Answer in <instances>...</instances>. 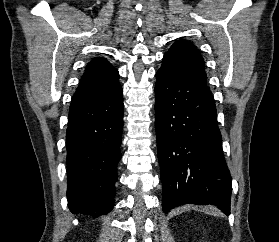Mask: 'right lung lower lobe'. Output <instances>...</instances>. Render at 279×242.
Wrapping results in <instances>:
<instances>
[{
  "instance_id": "98d812e1",
  "label": "right lung lower lobe",
  "mask_w": 279,
  "mask_h": 242,
  "mask_svg": "<svg viewBox=\"0 0 279 242\" xmlns=\"http://www.w3.org/2000/svg\"><path fill=\"white\" fill-rule=\"evenodd\" d=\"M122 88L71 101L67 147L68 206L72 213L94 217L113 206L117 164L121 159Z\"/></svg>"
}]
</instances>
